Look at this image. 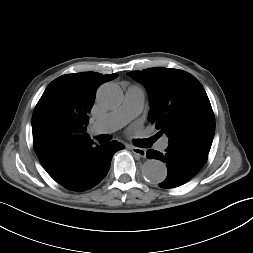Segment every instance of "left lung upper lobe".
<instances>
[{
  "mask_svg": "<svg viewBox=\"0 0 253 253\" xmlns=\"http://www.w3.org/2000/svg\"><path fill=\"white\" fill-rule=\"evenodd\" d=\"M129 76L148 90L151 110L148 120L169 145L187 147L208 155L215 117L201 83L191 74L164 67L132 71Z\"/></svg>",
  "mask_w": 253,
  "mask_h": 253,
  "instance_id": "1",
  "label": "left lung upper lobe"
}]
</instances>
